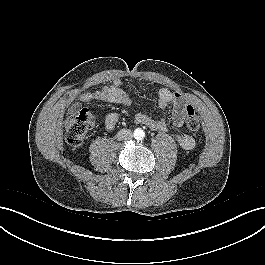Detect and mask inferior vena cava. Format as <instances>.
Returning <instances> with one entry per match:
<instances>
[{
	"label": "inferior vena cava",
	"instance_id": "obj_1",
	"mask_svg": "<svg viewBox=\"0 0 265 265\" xmlns=\"http://www.w3.org/2000/svg\"><path fill=\"white\" fill-rule=\"evenodd\" d=\"M133 137L132 131L130 129H121L117 133V140L118 141H123L127 139H131Z\"/></svg>",
	"mask_w": 265,
	"mask_h": 265
}]
</instances>
